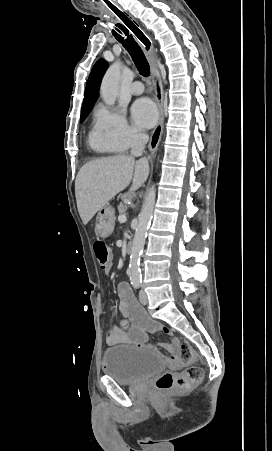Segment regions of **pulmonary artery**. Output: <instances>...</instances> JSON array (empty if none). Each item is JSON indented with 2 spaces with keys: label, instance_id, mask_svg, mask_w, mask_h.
<instances>
[{
  "label": "pulmonary artery",
  "instance_id": "pulmonary-artery-1",
  "mask_svg": "<svg viewBox=\"0 0 272 451\" xmlns=\"http://www.w3.org/2000/svg\"><path fill=\"white\" fill-rule=\"evenodd\" d=\"M144 91V86L140 79H135L133 85L129 87L128 92L132 95H140Z\"/></svg>",
  "mask_w": 272,
  "mask_h": 451
}]
</instances>
